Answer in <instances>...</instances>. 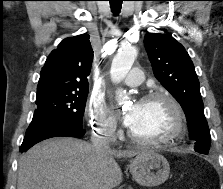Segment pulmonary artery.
I'll use <instances>...</instances> for the list:
<instances>
[{"label": "pulmonary artery", "instance_id": "obj_1", "mask_svg": "<svg viewBox=\"0 0 223 189\" xmlns=\"http://www.w3.org/2000/svg\"><path fill=\"white\" fill-rule=\"evenodd\" d=\"M143 72L140 68H133L130 73L123 79V83L129 87L141 85L143 81Z\"/></svg>", "mask_w": 223, "mask_h": 189}]
</instances>
